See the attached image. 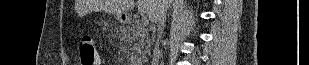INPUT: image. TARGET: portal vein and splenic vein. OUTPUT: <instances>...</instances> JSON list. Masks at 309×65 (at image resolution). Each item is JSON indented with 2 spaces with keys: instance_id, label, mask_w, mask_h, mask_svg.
I'll use <instances>...</instances> for the list:
<instances>
[{
  "instance_id": "obj_1",
  "label": "portal vein and splenic vein",
  "mask_w": 309,
  "mask_h": 65,
  "mask_svg": "<svg viewBox=\"0 0 309 65\" xmlns=\"http://www.w3.org/2000/svg\"><path fill=\"white\" fill-rule=\"evenodd\" d=\"M141 15H142L141 24H142L143 26H147L148 23H149L148 18L144 15V13H141Z\"/></svg>"
}]
</instances>
